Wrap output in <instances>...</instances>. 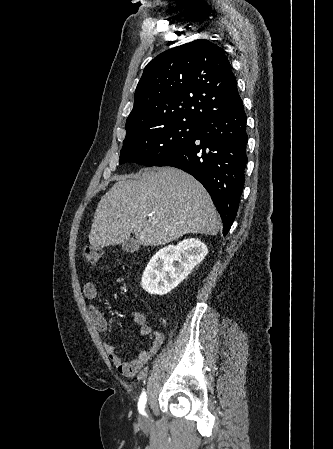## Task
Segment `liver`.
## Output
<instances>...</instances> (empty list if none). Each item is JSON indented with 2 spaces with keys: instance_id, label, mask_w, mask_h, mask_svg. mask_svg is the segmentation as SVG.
Here are the masks:
<instances>
[{
  "instance_id": "1",
  "label": "liver",
  "mask_w": 333,
  "mask_h": 449,
  "mask_svg": "<svg viewBox=\"0 0 333 449\" xmlns=\"http://www.w3.org/2000/svg\"><path fill=\"white\" fill-rule=\"evenodd\" d=\"M219 229L214 204L193 176L173 167L145 168L120 176L101 198L89 242L94 248L118 245L134 232L139 244L158 246Z\"/></svg>"
}]
</instances>
